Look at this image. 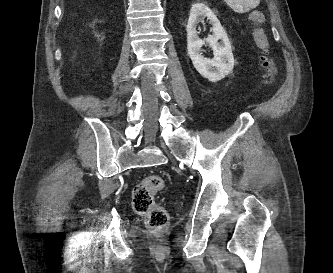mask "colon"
I'll list each match as a JSON object with an SVG mask.
<instances>
[{"label":"colon","mask_w":333,"mask_h":273,"mask_svg":"<svg viewBox=\"0 0 333 273\" xmlns=\"http://www.w3.org/2000/svg\"><path fill=\"white\" fill-rule=\"evenodd\" d=\"M249 20L253 27V35L257 45L263 49L261 57L262 66L265 70L264 85H273L277 76V65L269 55V40L261 25L265 17L261 12H251ZM164 188V180L160 175L151 174L142 179L133 190V208L146 219L147 225L153 231L164 230L169 222L167 211L155 201V196Z\"/></svg>","instance_id":"obj_1"}]
</instances>
